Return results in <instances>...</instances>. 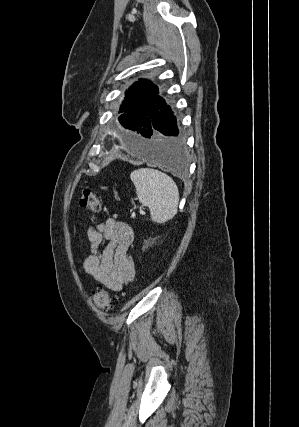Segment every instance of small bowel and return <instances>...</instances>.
Segmentation results:
<instances>
[{
  "mask_svg": "<svg viewBox=\"0 0 299 427\" xmlns=\"http://www.w3.org/2000/svg\"><path fill=\"white\" fill-rule=\"evenodd\" d=\"M91 253L84 260L85 272L111 291H122L125 284L135 278V262L128 255L134 241L131 226L108 218L91 226L87 232Z\"/></svg>",
  "mask_w": 299,
  "mask_h": 427,
  "instance_id": "c3829d8e",
  "label": "small bowel"
}]
</instances>
